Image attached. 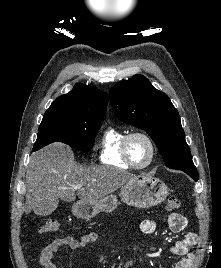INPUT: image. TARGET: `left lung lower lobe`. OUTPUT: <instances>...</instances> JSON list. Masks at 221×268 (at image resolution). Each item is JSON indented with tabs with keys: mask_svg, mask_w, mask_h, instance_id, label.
Masks as SVG:
<instances>
[{
	"mask_svg": "<svg viewBox=\"0 0 221 268\" xmlns=\"http://www.w3.org/2000/svg\"><path fill=\"white\" fill-rule=\"evenodd\" d=\"M183 172L191 176L195 181H198V173L196 167L190 169H181Z\"/></svg>",
	"mask_w": 221,
	"mask_h": 268,
	"instance_id": "left-lung-lower-lobe-1",
	"label": "left lung lower lobe"
}]
</instances>
